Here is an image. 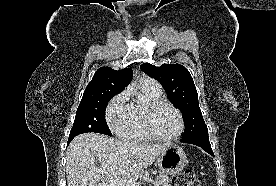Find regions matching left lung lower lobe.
<instances>
[{
  "label": "left lung lower lobe",
  "instance_id": "left-lung-lower-lobe-1",
  "mask_svg": "<svg viewBox=\"0 0 276 186\" xmlns=\"http://www.w3.org/2000/svg\"><path fill=\"white\" fill-rule=\"evenodd\" d=\"M180 141L184 142V143H190V144L197 145V146L201 147L203 150H205L207 153H209L210 155L214 156L210 142H209L208 135H201V136H197V137L181 139Z\"/></svg>",
  "mask_w": 276,
  "mask_h": 186
}]
</instances>
